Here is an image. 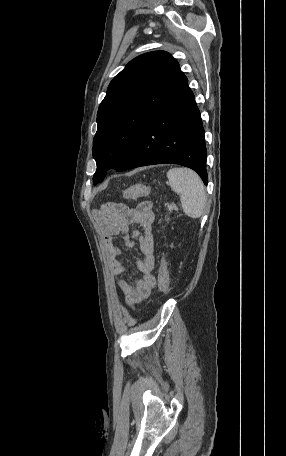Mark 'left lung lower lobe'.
Instances as JSON below:
<instances>
[{
  "label": "left lung lower lobe",
  "mask_w": 286,
  "mask_h": 456,
  "mask_svg": "<svg viewBox=\"0 0 286 456\" xmlns=\"http://www.w3.org/2000/svg\"><path fill=\"white\" fill-rule=\"evenodd\" d=\"M206 158L200 111L186 78L139 134L118 171L173 163L193 169L207 184Z\"/></svg>",
  "instance_id": "1"
}]
</instances>
